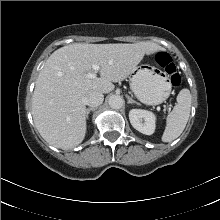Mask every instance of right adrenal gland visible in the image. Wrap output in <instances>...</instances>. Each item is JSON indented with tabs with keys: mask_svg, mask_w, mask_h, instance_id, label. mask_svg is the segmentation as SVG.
Masks as SVG:
<instances>
[{
	"mask_svg": "<svg viewBox=\"0 0 220 220\" xmlns=\"http://www.w3.org/2000/svg\"><path fill=\"white\" fill-rule=\"evenodd\" d=\"M96 109L97 108H94V107L86 109V118H88V115H89L90 111H95Z\"/></svg>",
	"mask_w": 220,
	"mask_h": 220,
	"instance_id": "2a0ac1e0",
	"label": "right adrenal gland"
}]
</instances>
